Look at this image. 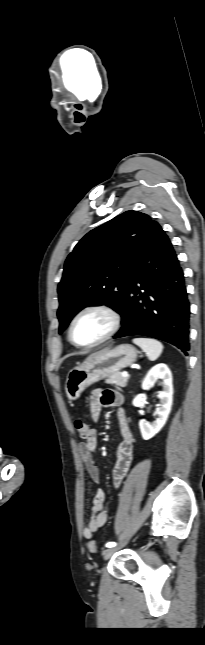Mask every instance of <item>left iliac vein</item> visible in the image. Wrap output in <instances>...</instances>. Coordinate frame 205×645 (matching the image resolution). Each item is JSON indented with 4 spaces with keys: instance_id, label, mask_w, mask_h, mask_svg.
Segmentation results:
<instances>
[{
    "instance_id": "obj_1",
    "label": "left iliac vein",
    "mask_w": 205,
    "mask_h": 645,
    "mask_svg": "<svg viewBox=\"0 0 205 645\" xmlns=\"http://www.w3.org/2000/svg\"><path fill=\"white\" fill-rule=\"evenodd\" d=\"M117 551V548H108L102 552V556L104 560L108 559L110 556H112L115 552Z\"/></svg>"
}]
</instances>
